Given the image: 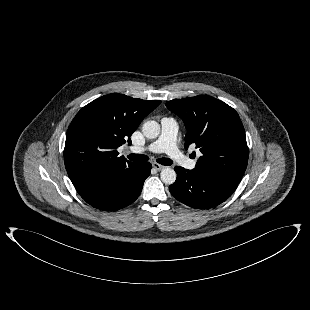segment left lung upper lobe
<instances>
[{
	"mask_svg": "<svg viewBox=\"0 0 310 310\" xmlns=\"http://www.w3.org/2000/svg\"><path fill=\"white\" fill-rule=\"evenodd\" d=\"M187 129L185 148H199L194 170L239 183L248 162L245 130L237 112L226 103L206 95L167 101Z\"/></svg>",
	"mask_w": 310,
	"mask_h": 310,
	"instance_id": "1",
	"label": "left lung upper lobe"
}]
</instances>
